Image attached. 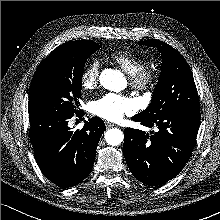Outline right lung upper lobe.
<instances>
[{"instance_id":"right-lung-upper-lobe-1","label":"right lung upper lobe","mask_w":220,"mask_h":220,"mask_svg":"<svg viewBox=\"0 0 220 220\" xmlns=\"http://www.w3.org/2000/svg\"><path fill=\"white\" fill-rule=\"evenodd\" d=\"M76 41H81V40H76ZM71 42H75V41H71ZM67 43H70V42H67ZM64 44H66V43H64Z\"/></svg>"}]
</instances>
